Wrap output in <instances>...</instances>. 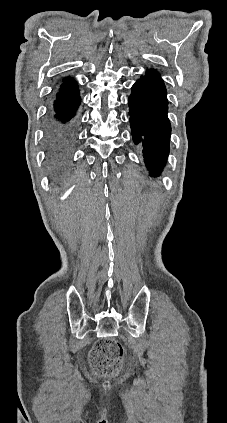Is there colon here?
Segmentation results:
<instances>
[{"label": "colon", "instance_id": "1", "mask_svg": "<svg viewBox=\"0 0 227 423\" xmlns=\"http://www.w3.org/2000/svg\"><path fill=\"white\" fill-rule=\"evenodd\" d=\"M123 360L121 345L112 338L98 340L90 353V361L94 369L102 375H113L118 372Z\"/></svg>", "mask_w": 227, "mask_h": 423}]
</instances>
